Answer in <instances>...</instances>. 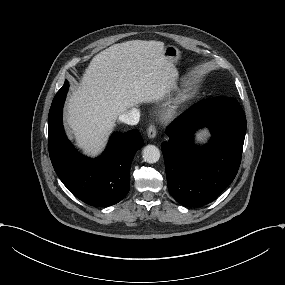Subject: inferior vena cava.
Wrapping results in <instances>:
<instances>
[{
  "label": "inferior vena cava",
  "instance_id": "1",
  "mask_svg": "<svg viewBox=\"0 0 285 285\" xmlns=\"http://www.w3.org/2000/svg\"><path fill=\"white\" fill-rule=\"evenodd\" d=\"M118 119L119 121L128 125H136L140 119V111L136 108H132L127 112L121 114Z\"/></svg>",
  "mask_w": 285,
  "mask_h": 285
}]
</instances>
